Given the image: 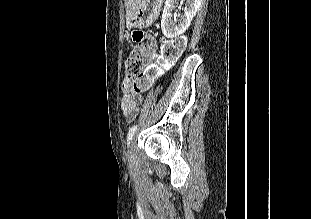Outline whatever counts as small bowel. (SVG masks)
<instances>
[{
    "instance_id": "1",
    "label": "small bowel",
    "mask_w": 311,
    "mask_h": 219,
    "mask_svg": "<svg viewBox=\"0 0 311 219\" xmlns=\"http://www.w3.org/2000/svg\"><path fill=\"white\" fill-rule=\"evenodd\" d=\"M122 98H121V109L123 114L131 119L135 117L138 112L139 104L141 102V95L131 90V79L125 77L122 82Z\"/></svg>"
}]
</instances>
